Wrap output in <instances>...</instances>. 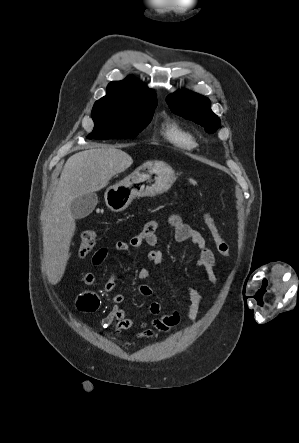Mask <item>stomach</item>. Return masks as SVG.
I'll use <instances>...</instances> for the list:
<instances>
[{
	"instance_id": "stomach-1",
	"label": "stomach",
	"mask_w": 299,
	"mask_h": 443,
	"mask_svg": "<svg viewBox=\"0 0 299 443\" xmlns=\"http://www.w3.org/2000/svg\"><path fill=\"white\" fill-rule=\"evenodd\" d=\"M174 170L163 162H147L105 191L106 205L114 212L126 209L136 197H152L170 189Z\"/></svg>"
}]
</instances>
